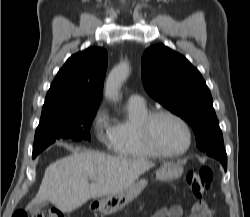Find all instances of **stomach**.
I'll return each mask as SVG.
<instances>
[{
    "label": "stomach",
    "mask_w": 250,
    "mask_h": 217,
    "mask_svg": "<svg viewBox=\"0 0 250 217\" xmlns=\"http://www.w3.org/2000/svg\"><path fill=\"white\" fill-rule=\"evenodd\" d=\"M183 173V167L179 163L169 162L162 165L157 171L156 178L161 181H171L179 178ZM147 181L141 179L135 181L129 188L114 195L101 197L97 201V210L109 215L123 209L134 200L146 187Z\"/></svg>",
    "instance_id": "1"
}]
</instances>
